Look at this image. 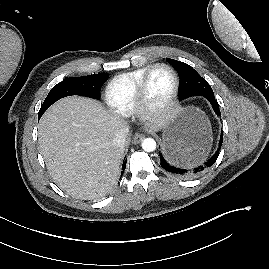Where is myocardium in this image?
I'll use <instances>...</instances> for the list:
<instances>
[{
	"label": "myocardium",
	"instance_id": "1",
	"mask_svg": "<svg viewBox=\"0 0 269 269\" xmlns=\"http://www.w3.org/2000/svg\"><path fill=\"white\" fill-rule=\"evenodd\" d=\"M157 68L169 70L173 77V87L167 99L160 105H151L147 100L146 89L151 73ZM180 80L175 69L166 63H155L148 67L141 77L135 93V111L144 120H152L164 116L173 106L178 96Z\"/></svg>",
	"mask_w": 269,
	"mask_h": 269
}]
</instances>
